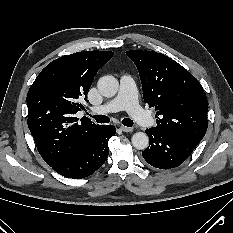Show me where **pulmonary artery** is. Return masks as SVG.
I'll list each match as a JSON object with an SVG mask.
<instances>
[{"label":"pulmonary artery","instance_id":"pulmonary-artery-1","mask_svg":"<svg viewBox=\"0 0 233 233\" xmlns=\"http://www.w3.org/2000/svg\"><path fill=\"white\" fill-rule=\"evenodd\" d=\"M121 110H126L144 127H151L154 124V119L139 106L135 81L128 74L121 76L120 88L116 97L91 109L94 114L114 113Z\"/></svg>","mask_w":233,"mask_h":233}]
</instances>
